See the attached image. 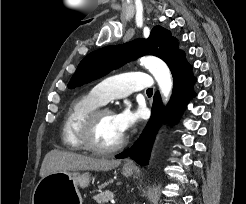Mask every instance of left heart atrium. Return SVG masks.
I'll return each instance as SVG.
<instances>
[{"label": "left heart atrium", "mask_w": 246, "mask_h": 204, "mask_svg": "<svg viewBox=\"0 0 246 204\" xmlns=\"http://www.w3.org/2000/svg\"><path fill=\"white\" fill-rule=\"evenodd\" d=\"M114 117L120 131L124 134L140 121L142 113L140 110L125 108L118 114H115Z\"/></svg>", "instance_id": "left-heart-atrium-1"}]
</instances>
